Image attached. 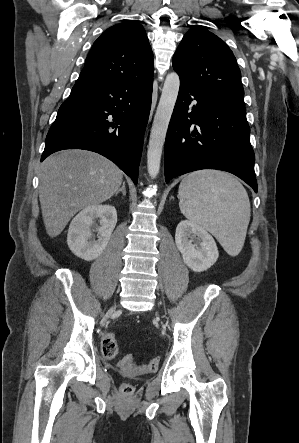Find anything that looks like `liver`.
<instances>
[{"mask_svg": "<svg viewBox=\"0 0 299 443\" xmlns=\"http://www.w3.org/2000/svg\"><path fill=\"white\" fill-rule=\"evenodd\" d=\"M39 200L47 234L54 238L80 210L111 198L123 172L107 158L86 150H63L39 170Z\"/></svg>", "mask_w": 299, "mask_h": 443, "instance_id": "liver-1", "label": "liver"}]
</instances>
